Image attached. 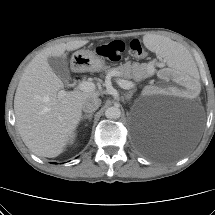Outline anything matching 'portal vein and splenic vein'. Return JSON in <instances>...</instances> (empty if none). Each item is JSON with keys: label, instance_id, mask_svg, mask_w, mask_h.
I'll use <instances>...</instances> for the list:
<instances>
[{"label": "portal vein and splenic vein", "instance_id": "obj_1", "mask_svg": "<svg viewBox=\"0 0 215 215\" xmlns=\"http://www.w3.org/2000/svg\"><path fill=\"white\" fill-rule=\"evenodd\" d=\"M118 85L123 88V89H131L134 87V83L131 81L119 79L118 80ZM78 90L85 91V92H90L95 89V84L93 82H88V81H81L78 86ZM58 95L60 97H63L65 95V91L61 90Z\"/></svg>", "mask_w": 215, "mask_h": 215}]
</instances>
